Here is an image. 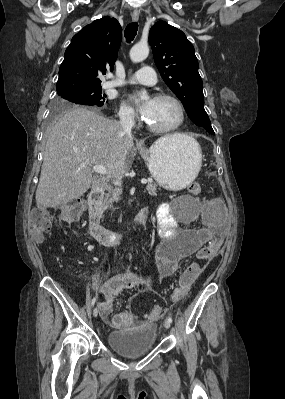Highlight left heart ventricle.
<instances>
[{"instance_id": "b2bd125f", "label": "left heart ventricle", "mask_w": 285, "mask_h": 399, "mask_svg": "<svg viewBox=\"0 0 285 399\" xmlns=\"http://www.w3.org/2000/svg\"><path fill=\"white\" fill-rule=\"evenodd\" d=\"M151 110L146 120L155 127L165 128L175 125L180 119L177 105L170 100L150 101Z\"/></svg>"}]
</instances>
